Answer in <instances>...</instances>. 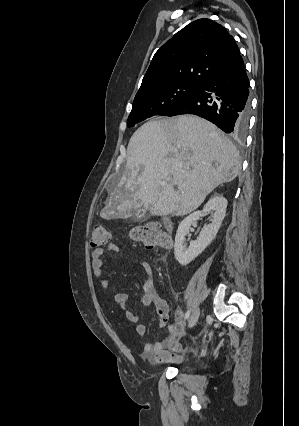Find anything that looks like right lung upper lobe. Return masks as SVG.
Segmentation results:
<instances>
[{
  "instance_id": "1",
  "label": "right lung upper lobe",
  "mask_w": 299,
  "mask_h": 426,
  "mask_svg": "<svg viewBox=\"0 0 299 426\" xmlns=\"http://www.w3.org/2000/svg\"><path fill=\"white\" fill-rule=\"evenodd\" d=\"M239 56L234 38L222 25L206 18L196 20L155 53L136 97L176 83L201 86Z\"/></svg>"
}]
</instances>
